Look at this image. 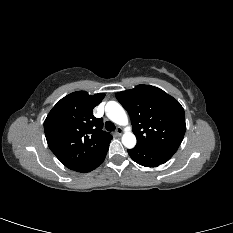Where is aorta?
<instances>
[{
  "label": "aorta",
  "mask_w": 233,
  "mask_h": 233,
  "mask_svg": "<svg viewBox=\"0 0 233 233\" xmlns=\"http://www.w3.org/2000/svg\"><path fill=\"white\" fill-rule=\"evenodd\" d=\"M105 112L106 116L112 122L120 126L128 125L129 121L127 114L119 103L115 101H109L105 106ZM122 143L128 149L134 148L136 145V137L132 133L131 128L129 126L126 128V131L122 136Z\"/></svg>",
  "instance_id": "aorta-1"
}]
</instances>
